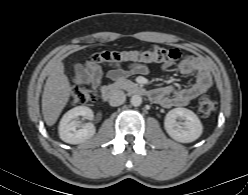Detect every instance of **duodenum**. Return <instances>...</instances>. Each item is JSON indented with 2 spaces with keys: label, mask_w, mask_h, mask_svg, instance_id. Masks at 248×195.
I'll list each match as a JSON object with an SVG mask.
<instances>
[{
  "label": "duodenum",
  "mask_w": 248,
  "mask_h": 195,
  "mask_svg": "<svg viewBox=\"0 0 248 195\" xmlns=\"http://www.w3.org/2000/svg\"><path fill=\"white\" fill-rule=\"evenodd\" d=\"M120 90H126L134 95H146L148 91L146 88L136 82L129 81L123 78H118L112 83L104 86L101 90V98L108 101L113 98Z\"/></svg>",
  "instance_id": "duodenum-1"
}]
</instances>
